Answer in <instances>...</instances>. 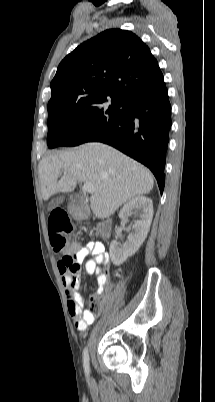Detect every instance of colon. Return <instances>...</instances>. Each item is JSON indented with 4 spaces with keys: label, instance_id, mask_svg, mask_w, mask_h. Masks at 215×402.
I'll list each match as a JSON object with an SVG mask.
<instances>
[{
    "label": "colon",
    "instance_id": "5ec220e1",
    "mask_svg": "<svg viewBox=\"0 0 215 402\" xmlns=\"http://www.w3.org/2000/svg\"><path fill=\"white\" fill-rule=\"evenodd\" d=\"M49 239L53 249L61 252L62 258L60 264L67 267L71 272L80 268L75 261L77 250H82V241L66 240L65 234L72 231V224L68 214L64 210H55L51 213L48 222ZM98 310V304L94 297L90 299L89 311L95 313Z\"/></svg>",
    "mask_w": 215,
    "mask_h": 402
}]
</instances>
